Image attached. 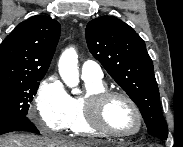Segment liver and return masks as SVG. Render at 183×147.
Wrapping results in <instances>:
<instances>
[{
    "label": "liver",
    "mask_w": 183,
    "mask_h": 147,
    "mask_svg": "<svg viewBox=\"0 0 183 147\" xmlns=\"http://www.w3.org/2000/svg\"><path fill=\"white\" fill-rule=\"evenodd\" d=\"M100 144L98 141L75 142L25 134H9L0 137V147H97Z\"/></svg>",
    "instance_id": "1"
}]
</instances>
